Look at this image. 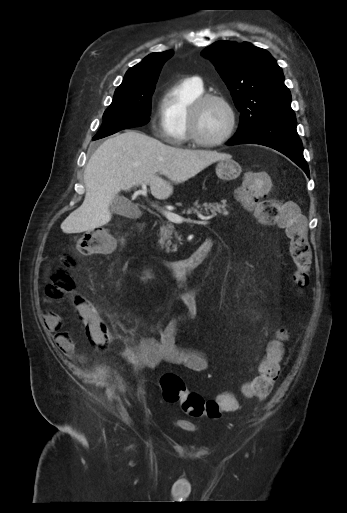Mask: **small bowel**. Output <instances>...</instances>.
<instances>
[{
  "instance_id": "c3829d8e",
  "label": "small bowel",
  "mask_w": 347,
  "mask_h": 513,
  "mask_svg": "<svg viewBox=\"0 0 347 513\" xmlns=\"http://www.w3.org/2000/svg\"><path fill=\"white\" fill-rule=\"evenodd\" d=\"M177 300L183 306V312L164 329L158 328V338L144 336L136 345L125 347L120 351V357L134 370L142 367L153 368L162 362L181 365L194 372H203L207 369L208 360L202 352L182 348L176 344L179 331L194 318L197 310L195 297L190 292L180 293ZM45 324L55 332L54 341L57 348L65 355H74L76 347L73 340L67 333L59 331L61 324L59 317L48 314Z\"/></svg>"
}]
</instances>
